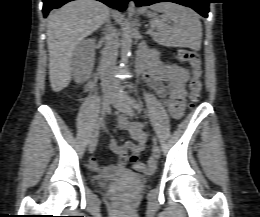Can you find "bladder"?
Masks as SVG:
<instances>
[{
	"instance_id": "bladder-1",
	"label": "bladder",
	"mask_w": 260,
	"mask_h": 217,
	"mask_svg": "<svg viewBox=\"0 0 260 217\" xmlns=\"http://www.w3.org/2000/svg\"><path fill=\"white\" fill-rule=\"evenodd\" d=\"M119 174L122 177H125V178H128V179L138 178V175L135 172H132V171L123 170V171H120Z\"/></svg>"
}]
</instances>
